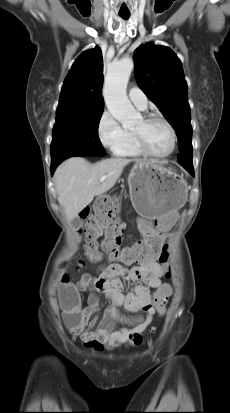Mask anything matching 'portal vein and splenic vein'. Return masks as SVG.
I'll return each mask as SVG.
<instances>
[{
  "label": "portal vein and splenic vein",
  "mask_w": 230,
  "mask_h": 413,
  "mask_svg": "<svg viewBox=\"0 0 230 413\" xmlns=\"http://www.w3.org/2000/svg\"><path fill=\"white\" fill-rule=\"evenodd\" d=\"M106 180V176L100 178V182H104Z\"/></svg>",
  "instance_id": "1"
}]
</instances>
